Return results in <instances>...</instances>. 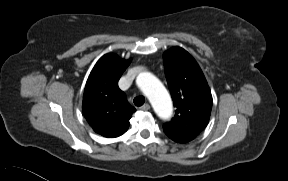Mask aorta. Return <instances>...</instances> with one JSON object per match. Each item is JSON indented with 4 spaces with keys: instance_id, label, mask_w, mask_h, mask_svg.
<instances>
[{
    "instance_id": "762f6f07",
    "label": "aorta",
    "mask_w": 288,
    "mask_h": 181,
    "mask_svg": "<svg viewBox=\"0 0 288 181\" xmlns=\"http://www.w3.org/2000/svg\"><path fill=\"white\" fill-rule=\"evenodd\" d=\"M136 81L156 113L163 119L169 118L172 113V101L163 84L149 72L140 73Z\"/></svg>"
}]
</instances>
